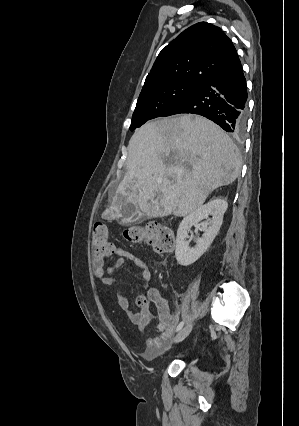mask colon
Returning <instances> with one entry per match:
<instances>
[{
	"mask_svg": "<svg viewBox=\"0 0 299 426\" xmlns=\"http://www.w3.org/2000/svg\"><path fill=\"white\" fill-rule=\"evenodd\" d=\"M124 237L132 243L148 245L156 252H170L174 248V236L172 231L157 222L143 226H132L124 231ZM92 242L95 252L102 258L113 254L114 245L109 240V233L106 225L97 222L92 230ZM146 300L141 299L139 303Z\"/></svg>",
	"mask_w": 299,
	"mask_h": 426,
	"instance_id": "1",
	"label": "colon"
}]
</instances>
